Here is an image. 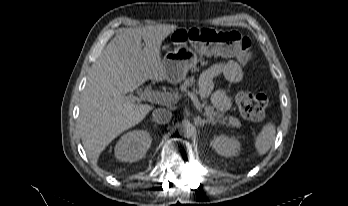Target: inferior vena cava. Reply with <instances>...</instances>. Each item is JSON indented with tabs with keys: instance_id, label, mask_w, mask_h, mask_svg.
I'll return each mask as SVG.
<instances>
[{
	"instance_id": "inferior-vena-cava-1",
	"label": "inferior vena cava",
	"mask_w": 348,
	"mask_h": 206,
	"mask_svg": "<svg viewBox=\"0 0 348 206\" xmlns=\"http://www.w3.org/2000/svg\"><path fill=\"white\" fill-rule=\"evenodd\" d=\"M153 120L158 124H166L172 118V113L165 108H157L152 112Z\"/></svg>"
}]
</instances>
